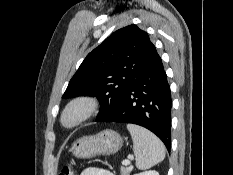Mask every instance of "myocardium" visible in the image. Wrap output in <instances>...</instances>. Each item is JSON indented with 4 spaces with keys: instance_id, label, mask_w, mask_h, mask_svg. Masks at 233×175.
I'll use <instances>...</instances> for the list:
<instances>
[{
    "instance_id": "f54148a6",
    "label": "myocardium",
    "mask_w": 233,
    "mask_h": 175,
    "mask_svg": "<svg viewBox=\"0 0 233 175\" xmlns=\"http://www.w3.org/2000/svg\"><path fill=\"white\" fill-rule=\"evenodd\" d=\"M100 108V102L93 95L83 94L73 97L64 106L60 123L66 129H72L93 117Z\"/></svg>"
}]
</instances>
